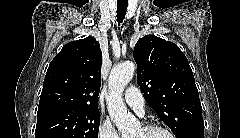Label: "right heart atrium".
<instances>
[{
	"instance_id": "obj_1",
	"label": "right heart atrium",
	"mask_w": 240,
	"mask_h": 138,
	"mask_svg": "<svg viewBox=\"0 0 240 138\" xmlns=\"http://www.w3.org/2000/svg\"><path fill=\"white\" fill-rule=\"evenodd\" d=\"M98 138H121L112 124L105 119H102L98 126Z\"/></svg>"
}]
</instances>
